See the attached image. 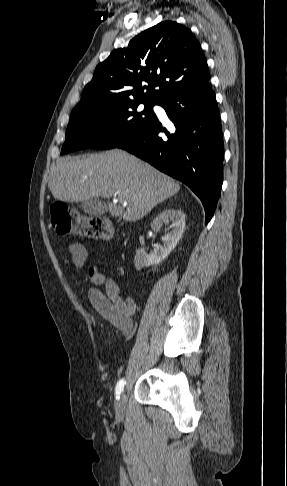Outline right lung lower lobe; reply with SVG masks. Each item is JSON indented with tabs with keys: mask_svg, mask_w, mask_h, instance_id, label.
I'll list each match as a JSON object with an SVG mask.
<instances>
[{
	"mask_svg": "<svg viewBox=\"0 0 287 486\" xmlns=\"http://www.w3.org/2000/svg\"><path fill=\"white\" fill-rule=\"evenodd\" d=\"M157 105L165 109L172 127L167 130L155 115L116 148L185 183L202 201L207 224L223 182L224 146L215 93L208 81L171 94Z\"/></svg>",
	"mask_w": 287,
	"mask_h": 486,
	"instance_id": "1",
	"label": "right lung lower lobe"
}]
</instances>
